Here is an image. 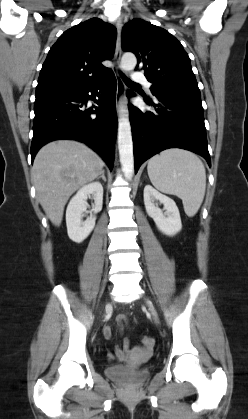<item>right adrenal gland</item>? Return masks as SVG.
<instances>
[{"mask_svg":"<svg viewBox=\"0 0 248 419\" xmlns=\"http://www.w3.org/2000/svg\"><path fill=\"white\" fill-rule=\"evenodd\" d=\"M102 178L104 180V182H106V177H105V170H102L100 176L97 179Z\"/></svg>","mask_w":248,"mask_h":419,"instance_id":"2a0ac1e0","label":"right adrenal gland"}]
</instances>
